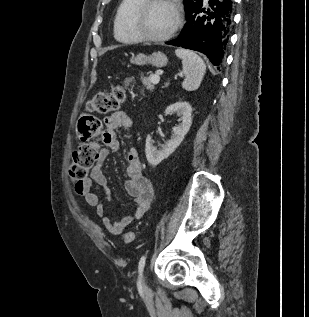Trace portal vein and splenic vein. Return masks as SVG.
<instances>
[{
    "instance_id": "portal-vein-and-splenic-vein-1",
    "label": "portal vein and splenic vein",
    "mask_w": 309,
    "mask_h": 317,
    "mask_svg": "<svg viewBox=\"0 0 309 317\" xmlns=\"http://www.w3.org/2000/svg\"><path fill=\"white\" fill-rule=\"evenodd\" d=\"M151 80L154 84L159 83L160 81L159 71H157L156 74L152 75Z\"/></svg>"
}]
</instances>
